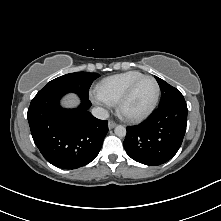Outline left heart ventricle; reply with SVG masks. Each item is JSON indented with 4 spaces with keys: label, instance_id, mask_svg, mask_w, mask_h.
Segmentation results:
<instances>
[{
    "label": "left heart ventricle",
    "instance_id": "b2bd125f",
    "mask_svg": "<svg viewBox=\"0 0 221 221\" xmlns=\"http://www.w3.org/2000/svg\"><path fill=\"white\" fill-rule=\"evenodd\" d=\"M156 94V86L150 79H145L135 88L131 98L125 106L129 114H138L145 111L152 103Z\"/></svg>",
    "mask_w": 221,
    "mask_h": 221
}]
</instances>
